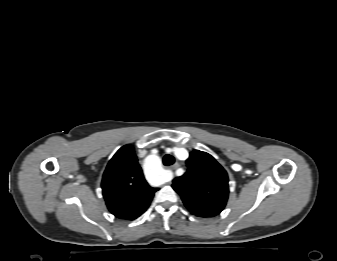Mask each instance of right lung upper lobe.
Here are the masks:
<instances>
[{
  "label": "right lung upper lobe",
  "instance_id": "1",
  "mask_svg": "<svg viewBox=\"0 0 337 261\" xmlns=\"http://www.w3.org/2000/svg\"><path fill=\"white\" fill-rule=\"evenodd\" d=\"M101 185L109 211L126 220L143 214L158 190L146 182L131 145L121 147L112 157Z\"/></svg>",
  "mask_w": 337,
  "mask_h": 261
}]
</instances>
